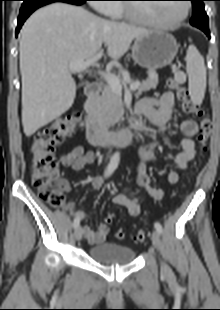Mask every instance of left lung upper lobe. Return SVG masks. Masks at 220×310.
Instances as JSON below:
<instances>
[{"label": "left lung upper lobe", "instance_id": "obj_1", "mask_svg": "<svg viewBox=\"0 0 220 310\" xmlns=\"http://www.w3.org/2000/svg\"><path fill=\"white\" fill-rule=\"evenodd\" d=\"M193 5V16L190 21L191 25L201 30H209L208 16L204 10L203 1L205 0H190Z\"/></svg>", "mask_w": 220, "mask_h": 310}]
</instances>
